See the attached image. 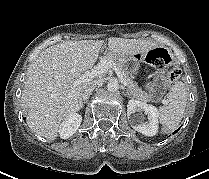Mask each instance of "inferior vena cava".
<instances>
[{
    "label": "inferior vena cava",
    "instance_id": "obj_1",
    "mask_svg": "<svg viewBox=\"0 0 209 179\" xmlns=\"http://www.w3.org/2000/svg\"><path fill=\"white\" fill-rule=\"evenodd\" d=\"M99 84H100L99 81H96V80L93 81V82L87 87V89L84 91V93L82 94L83 100H87V99L90 97V95L92 94L93 90H94L96 87H98Z\"/></svg>",
    "mask_w": 209,
    "mask_h": 179
}]
</instances>
